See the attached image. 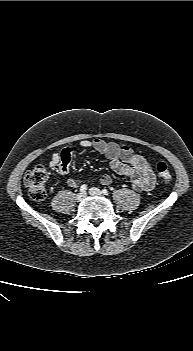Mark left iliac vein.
<instances>
[{
    "mask_svg": "<svg viewBox=\"0 0 193 351\" xmlns=\"http://www.w3.org/2000/svg\"><path fill=\"white\" fill-rule=\"evenodd\" d=\"M89 194L90 195H101L102 194V191L98 188H95V187H92L89 189Z\"/></svg>",
    "mask_w": 193,
    "mask_h": 351,
    "instance_id": "obj_1",
    "label": "left iliac vein"
}]
</instances>
